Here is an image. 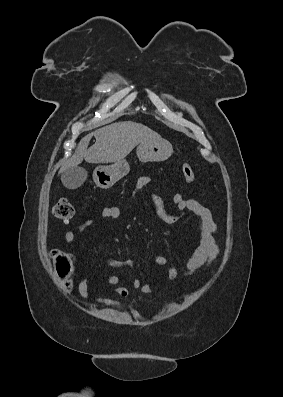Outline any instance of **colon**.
<instances>
[{"instance_id":"colon-1","label":"colon","mask_w":283,"mask_h":397,"mask_svg":"<svg viewBox=\"0 0 283 397\" xmlns=\"http://www.w3.org/2000/svg\"><path fill=\"white\" fill-rule=\"evenodd\" d=\"M181 172L188 183L194 182L195 173L190 164L184 163L181 167ZM53 214L56 218L68 222L74 217L75 209L68 199L63 198L55 204ZM52 261L63 289L65 291H70L75 269L73 256L66 251L54 250L52 252Z\"/></svg>"}]
</instances>
